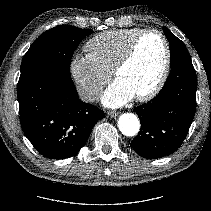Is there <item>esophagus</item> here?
I'll use <instances>...</instances> for the list:
<instances>
[{"label":"esophagus","instance_id":"34e87169","mask_svg":"<svg viewBox=\"0 0 211 211\" xmlns=\"http://www.w3.org/2000/svg\"><path fill=\"white\" fill-rule=\"evenodd\" d=\"M118 115H119V113L116 112V111H108V112H107V116H108V117H116V116H118Z\"/></svg>","mask_w":211,"mask_h":211}]
</instances>
